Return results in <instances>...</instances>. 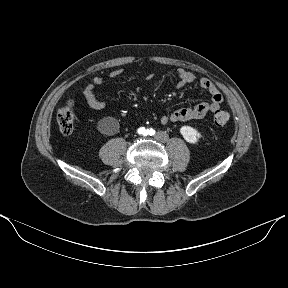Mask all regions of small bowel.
I'll return each instance as SVG.
<instances>
[{"label":"small bowel","mask_w":288,"mask_h":288,"mask_svg":"<svg viewBox=\"0 0 288 288\" xmlns=\"http://www.w3.org/2000/svg\"><path fill=\"white\" fill-rule=\"evenodd\" d=\"M123 70L118 69L114 70L109 74L110 79H115L122 75ZM178 83L177 87L181 88L188 84L195 82L196 77L194 73L189 70L179 68L177 70ZM104 79L100 76H96L93 81L86 86L84 89V97L89 104V106L96 110H101L106 107V103L102 100H99L95 95V88L103 85ZM199 85L201 88L206 90L211 99L209 102H200L192 108H181L174 110L168 114L161 116L160 121L162 124L166 125L171 122H184L191 120H199L204 118L209 112H216L220 109L223 97L219 89L207 78H201L199 80Z\"/></svg>","instance_id":"small-bowel-1"}]
</instances>
